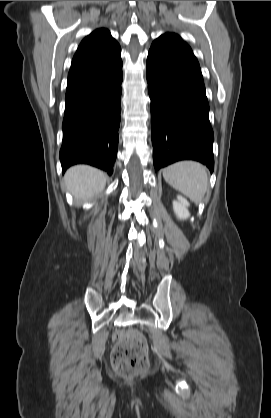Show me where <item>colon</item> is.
<instances>
[{"instance_id":"obj_1","label":"colon","mask_w":271,"mask_h":418,"mask_svg":"<svg viewBox=\"0 0 271 418\" xmlns=\"http://www.w3.org/2000/svg\"><path fill=\"white\" fill-rule=\"evenodd\" d=\"M115 341L111 362L117 373L131 376L148 368V347L143 335L136 331L118 332Z\"/></svg>"}]
</instances>
